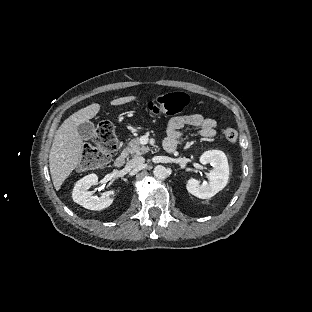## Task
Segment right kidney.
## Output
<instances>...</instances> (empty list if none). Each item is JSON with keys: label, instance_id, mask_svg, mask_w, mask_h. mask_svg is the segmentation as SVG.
<instances>
[{"label": "right kidney", "instance_id": "obj_1", "mask_svg": "<svg viewBox=\"0 0 312 312\" xmlns=\"http://www.w3.org/2000/svg\"><path fill=\"white\" fill-rule=\"evenodd\" d=\"M98 177L94 174L87 175L80 179L74 186L72 192L73 200L88 210H102L109 207L117 195V191L111 189L101 194L100 197L93 196L89 188L96 185Z\"/></svg>", "mask_w": 312, "mask_h": 312}]
</instances>
